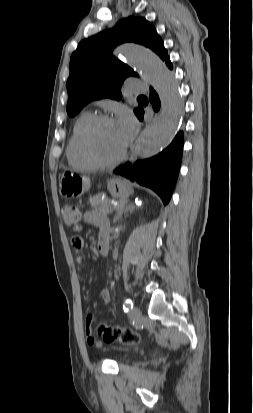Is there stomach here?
Listing matches in <instances>:
<instances>
[{"label": "stomach", "instance_id": "0dacf381", "mask_svg": "<svg viewBox=\"0 0 253 413\" xmlns=\"http://www.w3.org/2000/svg\"><path fill=\"white\" fill-rule=\"evenodd\" d=\"M59 187L62 196L79 198L89 190L90 180L86 176L65 171L61 175ZM108 190L113 197L118 199H126L133 193L131 186L121 178L110 179Z\"/></svg>", "mask_w": 253, "mask_h": 413}]
</instances>
